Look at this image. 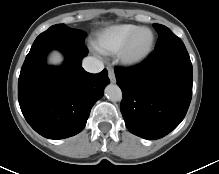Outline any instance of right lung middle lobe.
I'll list each match as a JSON object with an SVG mask.
<instances>
[{"label":"right lung middle lobe","mask_w":219,"mask_h":174,"mask_svg":"<svg viewBox=\"0 0 219 174\" xmlns=\"http://www.w3.org/2000/svg\"><path fill=\"white\" fill-rule=\"evenodd\" d=\"M86 36L87 34L84 31L72 29L65 24L53 25L36 38L30 52L35 51L42 46L55 43L84 44Z\"/></svg>","instance_id":"right-lung-middle-lobe-1"}]
</instances>
